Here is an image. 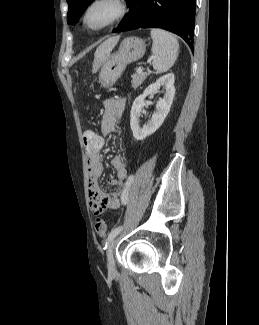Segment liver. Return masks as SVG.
Returning a JSON list of instances; mask_svg holds the SVG:
<instances>
[{"label": "liver", "mask_w": 259, "mask_h": 325, "mask_svg": "<svg viewBox=\"0 0 259 325\" xmlns=\"http://www.w3.org/2000/svg\"><path fill=\"white\" fill-rule=\"evenodd\" d=\"M119 36H114L104 41L95 51L93 62V73H95L103 62L108 58L113 48L119 41Z\"/></svg>", "instance_id": "1"}]
</instances>
